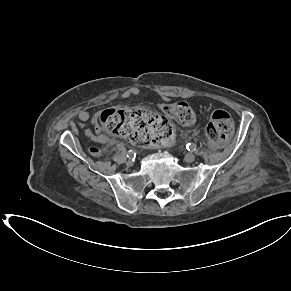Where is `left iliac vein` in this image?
<instances>
[{
    "mask_svg": "<svg viewBox=\"0 0 291 291\" xmlns=\"http://www.w3.org/2000/svg\"><path fill=\"white\" fill-rule=\"evenodd\" d=\"M195 155L194 154H192V153H187L186 155H185V157H184V160L186 161V162H188V163H191V162H193L194 160H195Z\"/></svg>",
    "mask_w": 291,
    "mask_h": 291,
    "instance_id": "obj_1",
    "label": "left iliac vein"
}]
</instances>
